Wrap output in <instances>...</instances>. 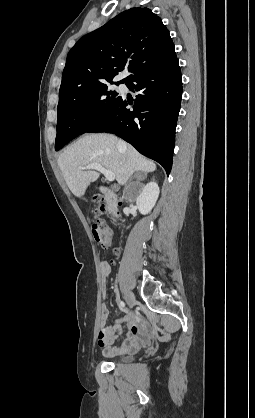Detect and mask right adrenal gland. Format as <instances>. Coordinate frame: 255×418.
Here are the masks:
<instances>
[{"label": "right adrenal gland", "instance_id": "obj_1", "mask_svg": "<svg viewBox=\"0 0 255 418\" xmlns=\"http://www.w3.org/2000/svg\"><path fill=\"white\" fill-rule=\"evenodd\" d=\"M135 177H136V178H140V177H142V178H141V180H144V179L147 177V174H146V173H144V174L142 175L141 173H136V174H135Z\"/></svg>", "mask_w": 255, "mask_h": 418}]
</instances>
